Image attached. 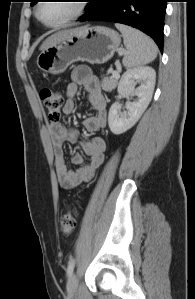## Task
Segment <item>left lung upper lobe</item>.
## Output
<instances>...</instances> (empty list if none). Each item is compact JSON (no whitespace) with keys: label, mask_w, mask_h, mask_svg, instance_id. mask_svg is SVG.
<instances>
[{"label":"left lung upper lobe","mask_w":195,"mask_h":299,"mask_svg":"<svg viewBox=\"0 0 195 299\" xmlns=\"http://www.w3.org/2000/svg\"><path fill=\"white\" fill-rule=\"evenodd\" d=\"M31 2V6L34 5L35 3H37V0H30Z\"/></svg>","instance_id":"1"}]
</instances>
